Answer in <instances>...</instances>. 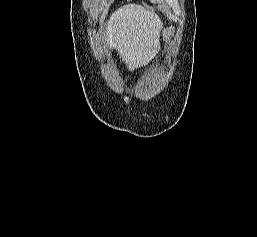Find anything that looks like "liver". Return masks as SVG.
I'll list each match as a JSON object with an SVG mask.
<instances>
[{"label":"liver","mask_w":257,"mask_h":237,"mask_svg":"<svg viewBox=\"0 0 257 237\" xmlns=\"http://www.w3.org/2000/svg\"><path fill=\"white\" fill-rule=\"evenodd\" d=\"M159 17L141 5L128 4L117 9L107 23V44L118 51L128 69L147 65L160 50Z\"/></svg>","instance_id":"liver-1"}]
</instances>
